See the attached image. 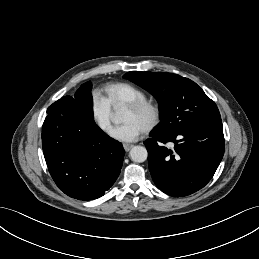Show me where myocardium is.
I'll return each instance as SVG.
<instances>
[{
	"mask_svg": "<svg viewBox=\"0 0 259 259\" xmlns=\"http://www.w3.org/2000/svg\"><path fill=\"white\" fill-rule=\"evenodd\" d=\"M123 110H127L130 112H141L144 110H148L152 114L151 121L146 125L143 129L142 132L144 134H149L152 131H154L159 124L161 123L163 112L160 107V105L150 99H145V100H137L134 102H131L125 106H123Z\"/></svg>",
	"mask_w": 259,
	"mask_h": 259,
	"instance_id": "obj_1",
	"label": "myocardium"
}]
</instances>
